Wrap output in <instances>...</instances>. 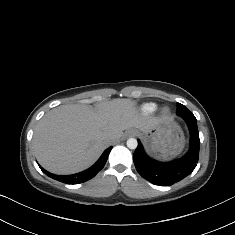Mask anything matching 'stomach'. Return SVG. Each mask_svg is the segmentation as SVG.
<instances>
[{
    "label": "stomach",
    "instance_id": "stomach-1",
    "mask_svg": "<svg viewBox=\"0 0 235 235\" xmlns=\"http://www.w3.org/2000/svg\"><path fill=\"white\" fill-rule=\"evenodd\" d=\"M136 133L154 152H158L160 158L176 156L184 147L183 133L173 122L156 126L147 133L140 131Z\"/></svg>",
    "mask_w": 235,
    "mask_h": 235
}]
</instances>
